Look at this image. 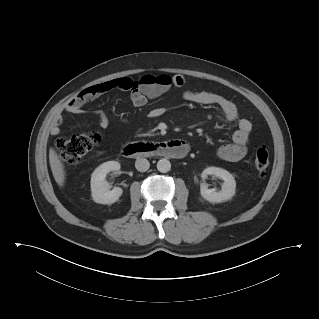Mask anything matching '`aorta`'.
I'll use <instances>...</instances> for the list:
<instances>
[{"mask_svg":"<svg viewBox=\"0 0 319 319\" xmlns=\"http://www.w3.org/2000/svg\"><path fill=\"white\" fill-rule=\"evenodd\" d=\"M157 169L161 173H166L171 169V163L167 159H160L157 162Z\"/></svg>","mask_w":319,"mask_h":319,"instance_id":"aorta-1","label":"aorta"}]
</instances>
